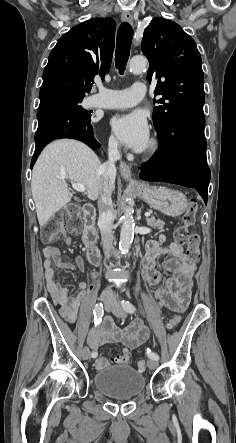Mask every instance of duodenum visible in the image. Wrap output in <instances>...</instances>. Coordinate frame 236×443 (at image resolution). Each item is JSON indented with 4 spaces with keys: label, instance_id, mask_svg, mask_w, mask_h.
I'll use <instances>...</instances> for the list:
<instances>
[{
    "label": "duodenum",
    "instance_id": "1",
    "mask_svg": "<svg viewBox=\"0 0 236 443\" xmlns=\"http://www.w3.org/2000/svg\"><path fill=\"white\" fill-rule=\"evenodd\" d=\"M83 216L85 219V229L82 236V243L86 247L89 263L98 266L100 264L99 249L95 246L97 235L93 225V221L96 217L95 207L92 205H86L83 208Z\"/></svg>",
    "mask_w": 236,
    "mask_h": 443
}]
</instances>
